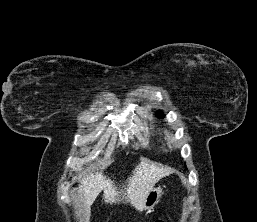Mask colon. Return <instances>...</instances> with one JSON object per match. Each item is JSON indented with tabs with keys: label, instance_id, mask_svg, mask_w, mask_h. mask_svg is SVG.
<instances>
[{
	"label": "colon",
	"instance_id": "obj_1",
	"mask_svg": "<svg viewBox=\"0 0 257 222\" xmlns=\"http://www.w3.org/2000/svg\"><path fill=\"white\" fill-rule=\"evenodd\" d=\"M156 222H163L162 220H158V221H156Z\"/></svg>",
	"mask_w": 257,
	"mask_h": 222
}]
</instances>
